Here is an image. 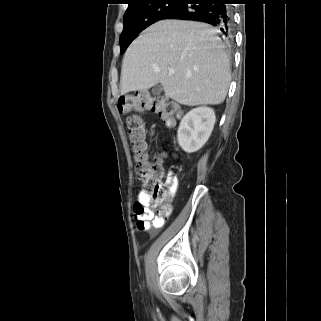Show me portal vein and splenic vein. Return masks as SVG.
<instances>
[{"label":"portal vein and splenic vein","mask_w":321,"mask_h":321,"mask_svg":"<svg viewBox=\"0 0 321 321\" xmlns=\"http://www.w3.org/2000/svg\"><path fill=\"white\" fill-rule=\"evenodd\" d=\"M169 74H170V75H173V74H174V70H170V71H169Z\"/></svg>","instance_id":"1"}]
</instances>
